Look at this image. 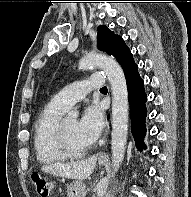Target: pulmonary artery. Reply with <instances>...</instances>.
Listing matches in <instances>:
<instances>
[{"label": "pulmonary artery", "instance_id": "e3ab8cb5", "mask_svg": "<svg viewBox=\"0 0 191 197\" xmlns=\"http://www.w3.org/2000/svg\"><path fill=\"white\" fill-rule=\"evenodd\" d=\"M105 74L91 75L85 80L69 84L55 94L52 102L64 110L71 108L73 104L84 98L90 91L99 89L104 85Z\"/></svg>", "mask_w": 191, "mask_h": 197}]
</instances>
